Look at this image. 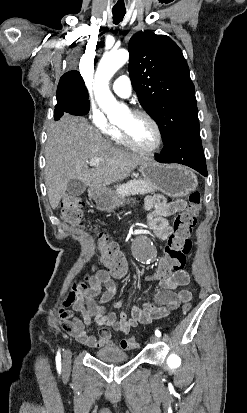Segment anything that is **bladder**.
<instances>
[{"instance_id": "bladder-1", "label": "bladder", "mask_w": 247, "mask_h": 413, "mask_svg": "<svg viewBox=\"0 0 247 413\" xmlns=\"http://www.w3.org/2000/svg\"><path fill=\"white\" fill-rule=\"evenodd\" d=\"M95 358L104 361H125L130 360V354L123 353L119 346H107L95 352Z\"/></svg>"}]
</instances>
